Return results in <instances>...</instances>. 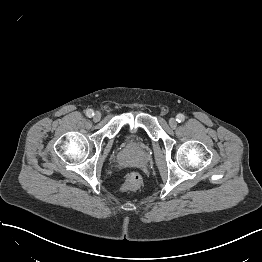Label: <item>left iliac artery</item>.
Listing matches in <instances>:
<instances>
[{
    "mask_svg": "<svg viewBox=\"0 0 262 262\" xmlns=\"http://www.w3.org/2000/svg\"><path fill=\"white\" fill-rule=\"evenodd\" d=\"M184 120H185V116L183 114H178L176 116V121H178L179 123L183 122Z\"/></svg>",
    "mask_w": 262,
    "mask_h": 262,
    "instance_id": "obj_1",
    "label": "left iliac artery"
}]
</instances>
